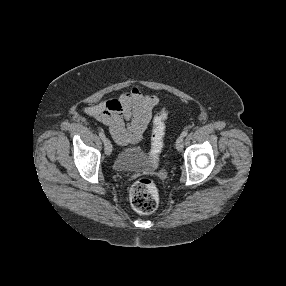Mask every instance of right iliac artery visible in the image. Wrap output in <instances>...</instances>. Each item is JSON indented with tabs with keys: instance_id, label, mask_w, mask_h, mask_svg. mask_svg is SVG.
<instances>
[{
	"instance_id": "1",
	"label": "right iliac artery",
	"mask_w": 286,
	"mask_h": 286,
	"mask_svg": "<svg viewBox=\"0 0 286 286\" xmlns=\"http://www.w3.org/2000/svg\"><path fill=\"white\" fill-rule=\"evenodd\" d=\"M99 136L102 139V141L105 142L106 136H105V133L103 131L99 132Z\"/></svg>"
}]
</instances>
